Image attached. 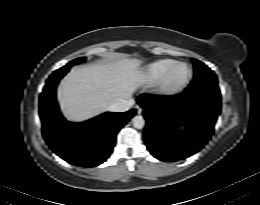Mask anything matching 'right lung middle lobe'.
I'll return each instance as SVG.
<instances>
[{
    "mask_svg": "<svg viewBox=\"0 0 260 205\" xmlns=\"http://www.w3.org/2000/svg\"><path fill=\"white\" fill-rule=\"evenodd\" d=\"M84 60H85L84 57H82V58H78V59H75V60L69 62L66 66L60 68V70L68 69V68H70L72 65H75V64L81 63V62H83Z\"/></svg>",
    "mask_w": 260,
    "mask_h": 205,
    "instance_id": "1",
    "label": "right lung middle lobe"
}]
</instances>
